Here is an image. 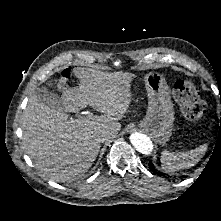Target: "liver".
<instances>
[{
	"label": "liver",
	"mask_w": 221,
	"mask_h": 221,
	"mask_svg": "<svg viewBox=\"0 0 221 221\" xmlns=\"http://www.w3.org/2000/svg\"><path fill=\"white\" fill-rule=\"evenodd\" d=\"M79 87L62 93L64 110L43 104L32 95L22 117V141L26 153L44 175L56 182L82 176L96 160L101 143L114 138L121 129L122 117L132 101L134 74L77 68ZM48 85H52V81ZM95 108L101 116H80L68 120L65 112ZM108 132L103 139L101 134Z\"/></svg>",
	"instance_id": "obj_1"
}]
</instances>
